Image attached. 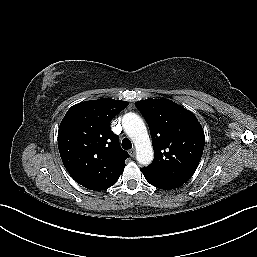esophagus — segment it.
Here are the masks:
<instances>
[{"mask_svg": "<svg viewBox=\"0 0 257 257\" xmlns=\"http://www.w3.org/2000/svg\"><path fill=\"white\" fill-rule=\"evenodd\" d=\"M128 153H129V155H130L131 157H135V154H136L135 149H130V150L128 151Z\"/></svg>", "mask_w": 257, "mask_h": 257, "instance_id": "34e87169", "label": "esophagus"}]
</instances>
